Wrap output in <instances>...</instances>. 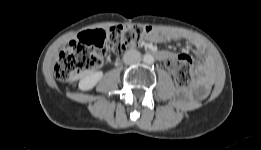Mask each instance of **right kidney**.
Masks as SVG:
<instances>
[{
    "instance_id": "right-kidney-1",
    "label": "right kidney",
    "mask_w": 261,
    "mask_h": 150,
    "mask_svg": "<svg viewBox=\"0 0 261 150\" xmlns=\"http://www.w3.org/2000/svg\"><path fill=\"white\" fill-rule=\"evenodd\" d=\"M103 77V72H93L88 75H86L84 78H82L79 82V89L83 91L91 90L93 87L96 86V84L101 80Z\"/></svg>"
}]
</instances>
